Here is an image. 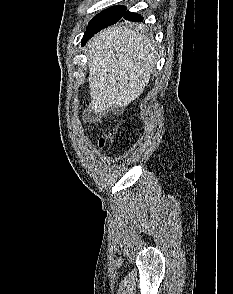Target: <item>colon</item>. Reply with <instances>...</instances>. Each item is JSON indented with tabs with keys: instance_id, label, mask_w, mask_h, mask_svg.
Listing matches in <instances>:
<instances>
[{
	"instance_id": "colon-1",
	"label": "colon",
	"mask_w": 233,
	"mask_h": 294,
	"mask_svg": "<svg viewBox=\"0 0 233 294\" xmlns=\"http://www.w3.org/2000/svg\"><path fill=\"white\" fill-rule=\"evenodd\" d=\"M105 145V140L104 139H100L99 141V146L103 147Z\"/></svg>"
}]
</instances>
